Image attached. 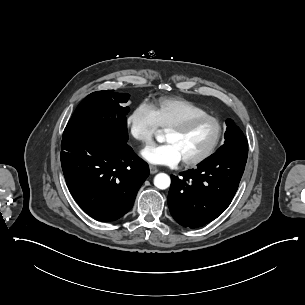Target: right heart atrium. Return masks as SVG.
I'll return each instance as SVG.
<instances>
[{"label":"right heart atrium","instance_id":"obj_1","mask_svg":"<svg viewBox=\"0 0 305 305\" xmlns=\"http://www.w3.org/2000/svg\"><path fill=\"white\" fill-rule=\"evenodd\" d=\"M125 125L129 136L143 144H149L158 130L157 119L146 103H139L125 118Z\"/></svg>","mask_w":305,"mask_h":305}]
</instances>
